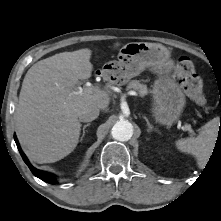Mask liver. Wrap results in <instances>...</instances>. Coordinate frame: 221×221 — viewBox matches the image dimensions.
<instances>
[{"instance_id":"liver-1","label":"liver","mask_w":221,"mask_h":221,"mask_svg":"<svg viewBox=\"0 0 221 221\" xmlns=\"http://www.w3.org/2000/svg\"><path fill=\"white\" fill-rule=\"evenodd\" d=\"M120 44L116 43L114 47ZM88 48L62 52L35 63L26 73L15 110L18 139L26 155L39 164L69 155L79 142V113L88 106L106 110L110 91H79V81L89 79L93 65Z\"/></svg>"}]
</instances>
